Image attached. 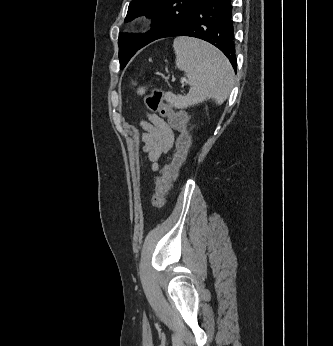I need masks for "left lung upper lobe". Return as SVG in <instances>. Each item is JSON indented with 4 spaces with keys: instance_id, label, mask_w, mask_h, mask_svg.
Segmentation results:
<instances>
[{
    "instance_id": "left-lung-upper-lobe-1",
    "label": "left lung upper lobe",
    "mask_w": 333,
    "mask_h": 346,
    "mask_svg": "<svg viewBox=\"0 0 333 346\" xmlns=\"http://www.w3.org/2000/svg\"><path fill=\"white\" fill-rule=\"evenodd\" d=\"M203 0H132L125 22L146 14L153 18L150 31L142 34L119 33L120 68H124L130 58L148 43L159 39L166 31L192 12Z\"/></svg>"
}]
</instances>
